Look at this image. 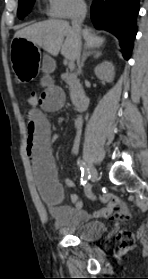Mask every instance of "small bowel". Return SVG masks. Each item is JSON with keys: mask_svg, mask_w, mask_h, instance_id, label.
I'll use <instances>...</instances> for the list:
<instances>
[{"mask_svg": "<svg viewBox=\"0 0 148 279\" xmlns=\"http://www.w3.org/2000/svg\"><path fill=\"white\" fill-rule=\"evenodd\" d=\"M44 89L38 97L37 104L28 114V139L27 154L33 166L38 189L44 201L51 207L53 216L61 223L75 225L92 217L99 218L109 216L113 208L119 203L116 196L105 194L102 202L105 206L89 212L83 209V202L79 195L70 196L71 206H61L63 199V187L58 180L57 169L51 150L53 133L51 125L46 118V113L61 109L65 102L64 92L55 85L50 76L43 78ZM67 187H74L73 180L64 179ZM87 194H90L87 191Z\"/></svg>", "mask_w": 148, "mask_h": 279, "instance_id": "1", "label": "small bowel"}]
</instances>
